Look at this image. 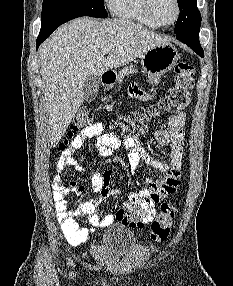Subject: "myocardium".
Returning a JSON list of instances; mask_svg holds the SVG:
<instances>
[{
	"mask_svg": "<svg viewBox=\"0 0 233 286\" xmlns=\"http://www.w3.org/2000/svg\"><path fill=\"white\" fill-rule=\"evenodd\" d=\"M174 1V4H175V8H176V13H175V17L174 19L167 23V24H164V23H160L157 21V19L155 18L154 16V13H153V0H143L144 2V7H145V11L147 13V15L149 16V18L158 26V27H169L171 25H173L174 23L177 22V20L179 19V16H180V4H179V1L178 0H173Z\"/></svg>",
	"mask_w": 233,
	"mask_h": 286,
	"instance_id": "obj_1",
	"label": "myocardium"
}]
</instances>
